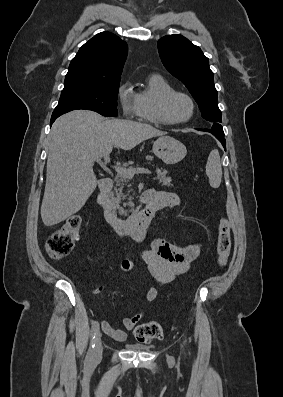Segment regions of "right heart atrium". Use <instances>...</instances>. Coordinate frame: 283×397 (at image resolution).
Segmentation results:
<instances>
[{"label":"right heart atrium","mask_w":283,"mask_h":397,"mask_svg":"<svg viewBox=\"0 0 283 397\" xmlns=\"http://www.w3.org/2000/svg\"><path fill=\"white\" fill-rule=\"evenodd\" d=\"M116 98L122 115L127 119L139 117L137 94L133 91L129 81L122 82L116 93Z\"/></svg>","instance_id":"1"}]
</instances>
